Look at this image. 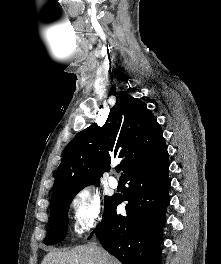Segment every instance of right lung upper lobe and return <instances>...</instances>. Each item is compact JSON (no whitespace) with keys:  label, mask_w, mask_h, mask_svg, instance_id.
<instances>
[{"label":"right lung upper lobe","mask_w":221,"mask_h":264,"mask_svg":"<svg viewBox=\"0 0 221 264\" xmlns=\"http://www.w3.org/2000/svg\"><path fill=\"white\" fill-rule=\"evenodd\" d=\"M161 126L140 99L120 95L103 127L96 123L79 132L65 147L57 168L51 203L97 184L111 159L123 158V177L167 152Z\"/></svg>","instance_id":"right-lung-upper-lobe-1"}]
</instances>
